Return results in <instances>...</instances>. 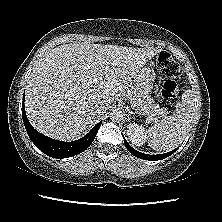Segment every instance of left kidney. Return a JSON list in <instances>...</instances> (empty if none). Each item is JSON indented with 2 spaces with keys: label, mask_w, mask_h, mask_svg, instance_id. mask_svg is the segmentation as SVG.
Listing matches in <instances>:
<instances>
[{
  "label": "left kidney",
  "mask_w": 222,
  "mask_h": 222,
  "mask_svg": "<svg viewBox=\"0 0 222 222\" xmlns=\"http://www.w3.org/2000/svg\"><path fill=\"white\" fill-rule=\"evenodd\" d=\"M126 134L132 144L138 147L145 143L147 137L145 129L137 123H130L127 126Z\"/></svg>",
  "instance_id": "1"
}]
</instances>
